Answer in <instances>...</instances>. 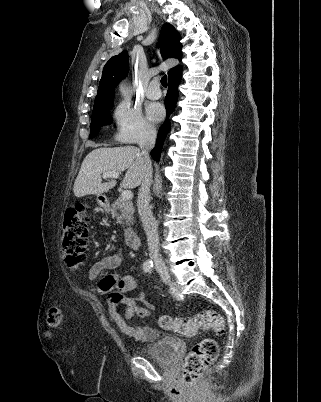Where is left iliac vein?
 <instances>
[{
	"mask_svg": "<svg viewBox=\"0 0 321 402\" xmlns=\"http://www.w3.org/2000/svg\"><path fill=\"white\" fill-rule=\"evenodd\" d=\"M160 275H161V278H162V280H163L164 282L167 283V282L170 281V274H169L168 269H166V268L161 269Z\"/></svg>",
	"mask_w": 321,
	"mask_h": 402,
	"instance_id": "1",
	"label": "left iliac vein"
}]
</instances>
